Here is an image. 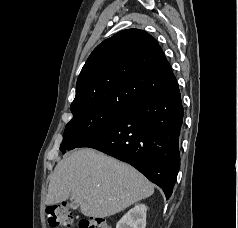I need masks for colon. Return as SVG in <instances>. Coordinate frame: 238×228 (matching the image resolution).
<instances>
[{
  "mask_svg": "<svg viewBox=\"0 0 238 228\" xmlns=\"http://www.w3.org/2000/svg\"><path fill=\"white\" fill-rule=\"evenodd\" d=\"M46 214L51 228H72L73 214L66 204H53L47 207ZM79 228H111L110 224L102 218H82Z\"/></svg>",
  "mask_w": 238,
  "mask_h": 228,
  "instance_id": "obj_1",
  "label": "colon"
}]
</instances>
